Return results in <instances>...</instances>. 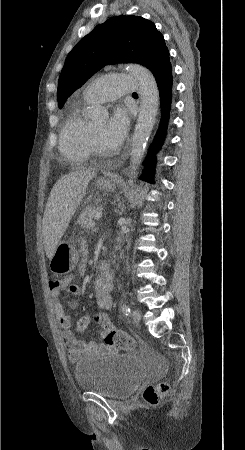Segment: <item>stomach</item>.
I'll use <instances>...</instances> for the list:
<instances>
[{"label": "stomach", "mask_w": 245, "mask_h": 450, "mask_svg": "<svg viewBox=\"0 0 245 450\" xmlns=\"http://www.w3.org/2000/svg\"><path fill=\"white\" fill-rule=\"evenodd\" d=\"M97 186L103 190H114L115 184L109 179H99ZM78 252L70 242H60L50 260V269L56 274L71 272L78 263Z\"/></svg>", "instance_id": "obj_1"}]
</instances>
